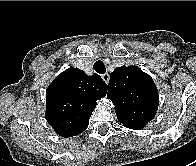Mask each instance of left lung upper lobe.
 <instances>
[{
    "label": "left lung upper lobe",
    "instance_id": "obj_1",
    "mask_svg": "<svg viewBox=\"0 0 196 166\" xmlns=\"http://www.w3.org/2000/svg\"><path fill=\"white\" fill-rule=\"evenodd\" d=\"M107 98L125 127L142 129L156 115L159 96L153 79L137 66H122L110 75Z\"/></svg>",
    "mask_w": 196,
    "mask_h": 166
}]
</instances>
